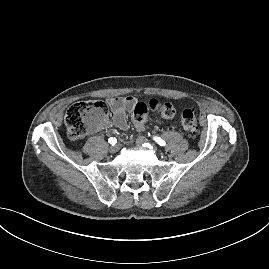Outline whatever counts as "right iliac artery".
Here are the masks:
<instances>
[{"instance_id":"obj_1","label":"right iliac artery","mask_w":269,"mask_h":269,"mask_svg":"<svg viewBox=\"0 0 269 269\" xmlns=\"http://www.w3.org/2000/svg\"><path fill=\"white\" fill-rule=\"evenodd\" d=\"M108 142H109L110 144H112V145H115V144L117 143V139L114 138V137H111V138L108 139Z\"/></svg>"}]
</instances>
